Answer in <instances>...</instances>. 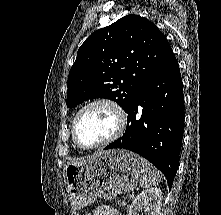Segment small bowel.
<instances>
[{
    "instance_id": "small-bowel-1",
    "label": "small bowel",
    "mask_w": 221,
    "mask_h": 215,
    "mask_svg": "<svg viewBox=\"0 0 221 215\" xmlns=\"http://www.w3.org/2000/svg\"><path fill=\"white\" fill-rule=\"evenodd\" d=\"M86 215H122L117 209L109 206L98 207L93 212L87 213Z\"/></svg>"
}]
</instances>
